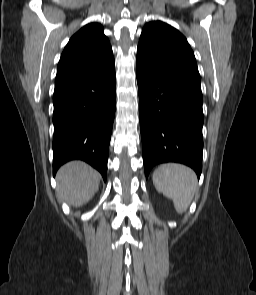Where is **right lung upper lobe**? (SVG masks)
Instances as JSON below:
<instances>
[{"label": "right lung upper lobe", "mask_w": 256, "mask_h": 295, "mask_svg": "<svg viewBox=\"0 0 256 295\" xmlns=\"http://www.w3.org/2000/svg\"><path fill=\"white\" fill-rule=\"evenodd\" d=\"M114 63V57L103 27L90 23L74 34L58 63L56 80L90 72Z\"/></svg>", "instance_id": "right-lung-upper-lobe-1"}]
</instances>
